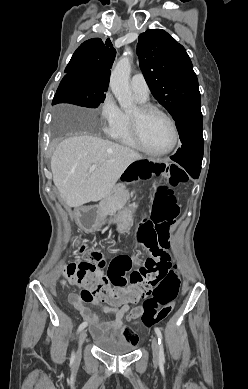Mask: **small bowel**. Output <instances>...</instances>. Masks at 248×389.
<instances>
[{"label": "small bowel", "instance_id": "1", "mask_svg": "<svg viewBox=\"0 0 248 389\" xmlns=\"http://www.w3.org/2000/svg\"><path fill=\"white\" fill-rule=\"evenodd\" d=\"M144 256L141 252H137L133 255V262L137 267L142 265ZM119 291H125L124 287H118ZM69 302L80 312L82 317L89 322L92 329H102L103 332L109 335H125L133 343L137 344L139 339L137 334L129 327L123 323V318L126 316L129 321L136 322L140 318L141 307H135L130 310V305L134 304L137 301L125 302L121 305H113L108 301H105L101 298H97L89 304L94 307L103 310L104 312H113L114 318L108 322H99L96 320L93 312L84 305V301L80 298L79 295L71 293L68 296ZM114 306V309L111 308Z\"/></svg>", "mask_w": 248, "mask_h": 389}]
</instances>
